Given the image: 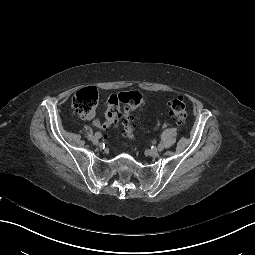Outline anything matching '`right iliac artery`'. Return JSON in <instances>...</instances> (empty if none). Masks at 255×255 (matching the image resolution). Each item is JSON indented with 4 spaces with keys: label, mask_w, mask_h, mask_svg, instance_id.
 Wrapping results in <instances>:
<instances>
[{
    "label": "right iliac artery",
    "mask_w": 255,
    "mask_h": 255,
    "mask_svg": "<svg viewBox=\"0 0 255 255\" xmlns=\"http://www.w3.org/2000/svg\"><path fill=\"white\" fill-rule=\"evenodd\" d=\"M95 136L98 137V138H100V137H101V133H100V132H96V133H95Z\"/></svg>",
    "instance_id": "82829eb1"
}]
</instances>
